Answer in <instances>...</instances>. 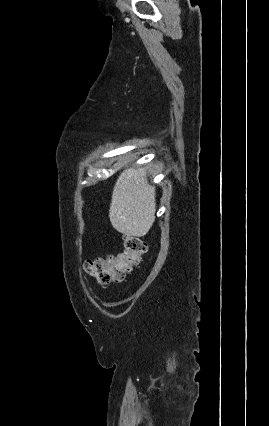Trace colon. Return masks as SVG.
I'll return each mask as SVG.
<instances>
[{"mask_svg":"<svg viewBox=\"0 0 269 426\" xmlns=\"http://www.w3.org/2000/svg\"><path fill=\"white\" fill-rule=\"evenodd\" d=\"M146 252V242L138 236L126 234L123 236L121 253L88 260L85 263V272L99 285L121 282Z\"/></svg>","mask_w":269,"mask_h":426,"instance_id":"obj_1","label":"colon"}]
</instances>
